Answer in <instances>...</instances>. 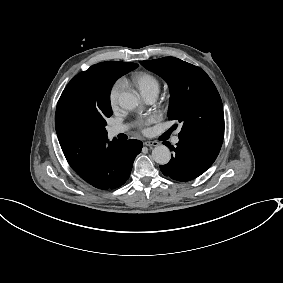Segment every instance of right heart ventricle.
<instances>
[{
  "label": "right heart ventricle",
  "instance_id": "1",
  "mask_svg": "<svg viewBox=\"0 0 283 283\" xmlns=\"http://www.w3.org/2000/svg\"><path fill=\"white\" fill-rule=\"evenodd\" d=\"M125 82L136 87L140 93L148 90L159 91V82L157 78L151 73L142 69L132 71L125 78Z\"/></svg>",
  "mask_w": 283,
  "mask_h": 283
}]
</instances>
